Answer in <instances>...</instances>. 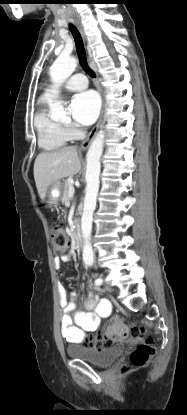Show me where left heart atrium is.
I'll return each mask as SVG.
<instances>
[{
  "label": "left heart atrium",
  "instance_id": "left-heart-atrium-1",
  "mask_svg": "<svg viewBox=\"0 0 187 415\" xmlns=\"http://www.w3.org/2000/svg\"><path fill=\"white\" fill-rule=\"evenodd\" d=\"M100 110V98L93 90L76 94L71 101L70 111L74 120L81 125L92 124Z\"/></svg>",
  "mask_w": 187,
  "mask_h": 415
}]
</instances>
